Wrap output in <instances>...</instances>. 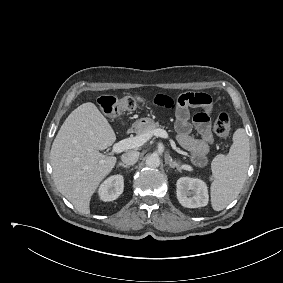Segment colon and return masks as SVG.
Masks as SVG:
<instances>
[{
	"label": "colon",
	"instance_id": "1",
	"mask_svg": "<svg viewBox=\"0 0 283 283\" xmlns=\"http://www.w3.org/2000/svg\"><path fill=\"white\" fill-rule=\"evenodd\" d=\"M144 99L138 95H128L121 98L103 96L98 102L102 110L110 115H116L123 111L138 110ZM230 117L225 111L221 112L214 122V132L221 138H227L230 135Z\"/></svg>",
	"mask_w": 283,
	"mask_h": 283
}]
</instances>
